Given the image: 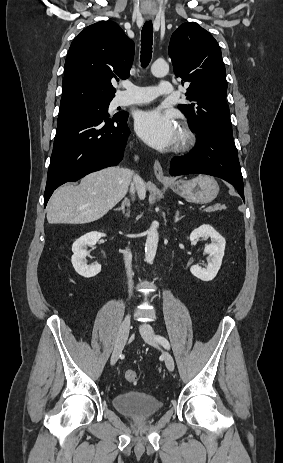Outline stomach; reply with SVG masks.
<instances>
[{"instance_id": "1", "label": "stomach", "mask_w": 283, "mask_h": 463, "mask_svg": "<svg viewBox=\"0 0 283 463\" xmlns=\"http://www.w3.org/2000/svg\"><path fill=\"white\" fill-rule=\"evenodd\" d=\"M167 185L174 193L194 203H209L219 192L217 181L207 175L190 180L180 179Z\"/></svg>"}]
</instances>
